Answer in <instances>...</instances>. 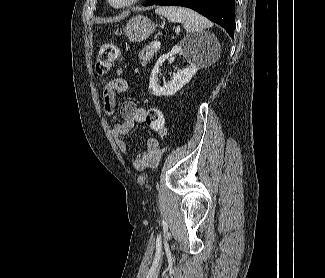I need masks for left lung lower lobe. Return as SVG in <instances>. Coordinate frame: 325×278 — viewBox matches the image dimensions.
<instances>
[{
    "instance_id": "obj_1",
    "label": "left lung lower lobe",
    "mask_w": 325,
    "mask_h": 278,
    "mask_svg": "<svg viewBox=\"0 0 325 278\" xmlns=\"http://www.w3.org/2000/svg\"><path fill=\"white\" fill-rule=\"evenodd\" d=\"M151 5L191 8L222 26L234 38L235 0H149L145 4Z\"/></svg>"
}]
</instances>
